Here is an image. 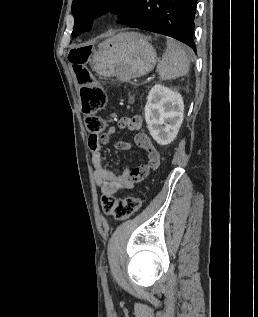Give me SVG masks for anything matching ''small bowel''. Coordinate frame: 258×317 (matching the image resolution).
<instances>
[{
	"instance_id": "1",
	"label": "small bowel",
	"mask_w": 258,
	"mask_h": 317,
	"mask_svg": "<svg viewBox=\"0 0 258 317\" xmlns=\"http://www.w3.org/2000/svg\"><path fill=\"white\" fill-rule=\"evenodd\" d=\"M142 124V117L134 115L133 117L120 118L117 126L119 129L135 132L141 129ZM115 131L116 128L111 127L104 133L91 134L88 140L91 164L94 170V182L100 188L102 194L105 195H113L119 191L131 189L134 184L142 181L151 171L157 169L160 164V154L150 137L144 132H137L133 137L132 143L118 141L115 143V148L127 150L134 144L146 151V163L133 169L126 167L120 175H116L113 171L104 167L101 151Z\"/></svg>"
}]
</instances>
